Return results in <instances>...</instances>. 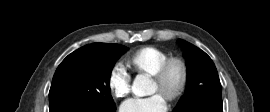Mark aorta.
<instances>
[{
	"label": "aorta",
	"instance_id": "762f6f07",
	"mask_svg": "<svg viewBox=\"0 0 270 112\" xmlns=\"http://www.w3.org/2000/svg\"><path fill=\"white\" fill-rule=\"evenodd\" d=\"M132 91L136 96L139 97L150 95L153 93L152 81L147 75L139 74L133 81Z\"/></svg>",
	"mask_w": 270,
	"mask_h": 112
}]
</instances>
